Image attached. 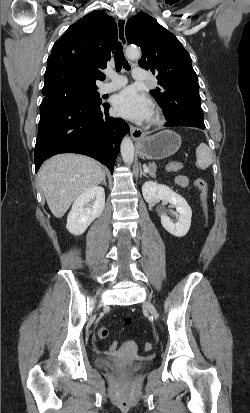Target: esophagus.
Wrapping results in <instances>:
<instances>
[{
  "mask_svg": "<svg viewBox=\"0 0 250 413\" xmlns=\"http://www.w3.org/2000/svg\"><path fill=\"white\" fill-rule=\"evenodd\" d=\"M127 23V19L125 17L119 18L117 20V28H118V38L123 46H126L127 40L125 36V26ZM130 127V134L133 140H138L143 136V131L133 125H129Z\"/></svg>",
  "mask_w": 250,
  "mask_h": 413,
  "instance_id": "34e87169",
  "label": "esophagus"
}]
</instances>
